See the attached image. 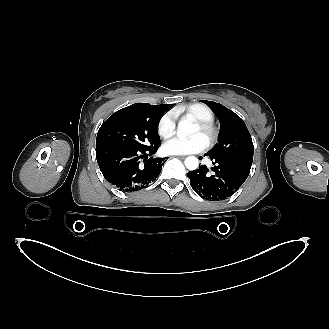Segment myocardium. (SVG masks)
<instances>
[{"instance_id": "1", "label": "myocardium", "mask_w": 329, "mask_h": 329, "mask_svg": "<svg viewBox=\"0 0 329 329\" xmlns=\"http://www.w3.org/2000/svg\"><path fill=\"white\" fill-rule=\"evenodd\" d=\"M195 125H197L201 132L206 135L207 143L209 146L213 145L217 141L219 130L212 121L197 120Z\"/></svg>"}]
</instances>
